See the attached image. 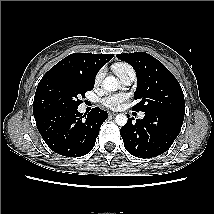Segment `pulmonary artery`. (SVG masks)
Listing matches in <instances>:
<instances>
[{"instance_id": "e3ab8cb5", "label": "pulmonary artery", "mask_w": 214, "mask_h": 214, "mask_svg": "<svg viewBox=\"0 0 214 214\" xmlns=\"http://www.w3.org/2000/svg\"><path fill=\"white\" fill-rule=\"evenodd\" d=\"M119 78V81L122 85L128 86L135 80V71L132 67L124 68L116 74ZM144 113L139 114V118L142 119Z\"/></svg>"}]
</instances>
